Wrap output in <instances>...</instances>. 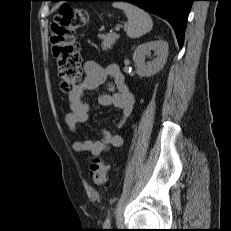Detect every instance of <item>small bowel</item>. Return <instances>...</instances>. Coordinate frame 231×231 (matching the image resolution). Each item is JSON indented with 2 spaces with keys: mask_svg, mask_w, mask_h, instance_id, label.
<instances>
[{
  "mask_svg": "<svg viewBox=\"0 0 231 231\" xmlns=\"http://www.w3.org/2000/svg\"><path fill=\"white\" fill-rule=\"evenodd\" d=\"M85 77L68 93L69 113L65 122L71 132H76L79 124L85 123L90 117V105L84 100L86 91H93L103 84L109 86V92L102 93L98 97V103L102 107L113 106L121 111V116L116 123L117 128L124 127L132 117L134 96L128 89L125 78L118 65L109 64L102 67L94 60L84 63ZM123 139L120 134L111 133L103 129L98 140L85 138L73 143L76 152L90 153L99 156L110 148L120 147Z\"/></svg>",
  "mask_w": 231,
  "mask_h": 231,
  "instance_id": "obj_1",
  "label": "small bowel"
}]
</instances>
